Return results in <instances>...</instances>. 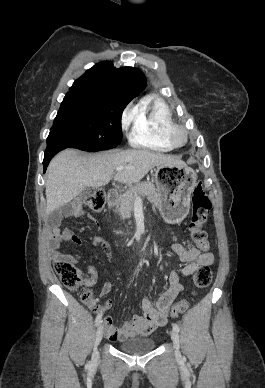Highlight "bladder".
<instances>
[{
  "label": "bladder",
  "instance_id": "bladder-1",
  "mask_svg": "<svg viewBox=\"0 0 265 388\" xmlns=\"http://www.w3.org/2000/svg\"><path fill=\"white\" fill-rule=\"evenodd\" d=\"M156 343L155 340H148L145 337H134L122 342L120 349L131 354L151 352Z\"/></svg>",
  "mask_w": 265,
  "mask_h": 388
}]
</instances>
